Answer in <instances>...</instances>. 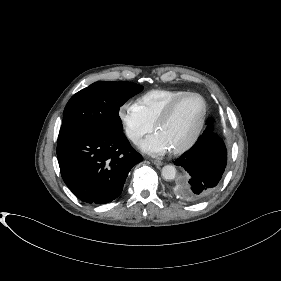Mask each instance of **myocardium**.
<instances>
[{"label": "myocardium", "mask_w": 281, "mask_h": 281, "mask_svg": "<svg viewBox=\"0 0 281 281\" xmlns=\"http://www.w3.org/2000/svg\"><path fill=\"white\" fill-rule=\"evenodd\" d=\"M191 96L199 98L202 102L203 110H202L201 120H200V123H199L198 127L196 128L193 136L183 145L170 150V152L172 154H180V153H183V152L189 150L196 143L199 136L201 135L205 122H206L207 111H208V106H207V102H206L205 98L197 92H186L183 95L172 100L164 108V110L159 114V116L157 117V119L154 123V130L157 131L158 128L171 116V114L173 113V111L175 110L177 105L184 99L191 97Z\"/></svg>", "instance_id": "obj_1"}]
</instances>
